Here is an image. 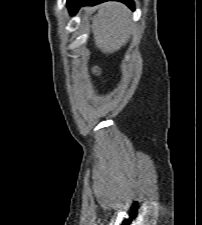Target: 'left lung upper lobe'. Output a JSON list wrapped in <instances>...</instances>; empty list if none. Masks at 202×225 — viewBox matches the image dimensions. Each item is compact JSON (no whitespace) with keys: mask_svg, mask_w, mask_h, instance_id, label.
<instances>
[{"mask_svg":"<svg viewBox=\"0 0 202 225\" xmlns=\"http://www.w3.org/2000/svg\"><path fill=\"white\" fill-rule=\"evenodd\" d=\"M77 0H67V6H68V9L70 11L71 14H74L73 11H74V4L76 3Z\"/></svg>","mask_w":202,"mask_h":225,"instance_id":"5c2ea615","label":"left lung upper lobe"}]
</instances>
